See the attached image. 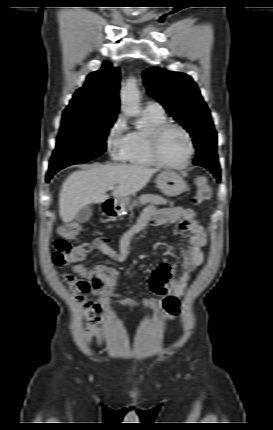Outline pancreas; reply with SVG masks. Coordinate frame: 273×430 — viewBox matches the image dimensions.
I'll list each match as a JSON object with an SVG mask.
<instances>
[{"label": "pancreas", "instance_id": "pancreas-1", "mask_svg": "<svg viewBox=\"0 0 273 430\" xmlns=\"http://www.w3.org/2000/svg\"><path fill=\"white\" fill-rule=\"evenodd\" d=\"M149 202H151L153 204H157V205H165L168 203V201L165 198H163L159 195L144 194L138 198V201H134L132 206H136V205H138V203L141 205H145ZM132 206H130V210L132 209Z\"/></svg>", "mask_w": 273, "mask_h": 430}]
</instances>
